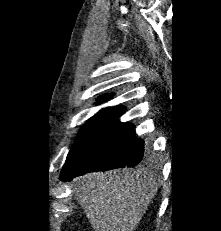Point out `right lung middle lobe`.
<instances>
[{"instance_id": "obj_1", "label": "right lung middle lobe", "mask_w": 221, "mask_h": 231, "mask_svg": "<svg viewBox=\"0 0 221 231\" xmlns=\"http://www.w3.org/2000/svg\"><path fill=\"white\" fill-rule=\"evenodd\" d=\"M103 100V99H98ZM125 111L122 106L109 107L101 110L81 128L75 144L71 148L65 165L72 164L86 149H88L108 127V125Z\"/></svg>"}]
</instances>
